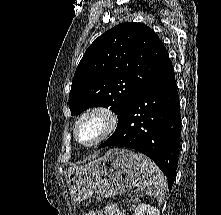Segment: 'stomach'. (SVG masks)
<instances>
[{"label": "stomach", "instance_id": "0dacf381", "mask_svg": "<svg viewBox=\"0 0 221 215\" xmlns=\"http://www.w3.org/2000/svg\"><path fill=\"white\" fill-rule=\"evenodd\" d=\"M141 161L135 152L114 148L85 165L71 166L67 182L76 201L90 198L95 192L111 198L130 191L139 181Z\"/></svg>", "mask_w": 221, "mask_h": 215}]
</instances>
